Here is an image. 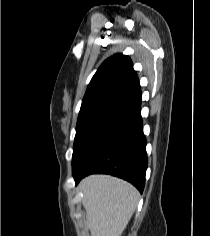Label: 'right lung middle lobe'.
<instances>
[{"instance_id": "right-lung-middle-lobe-1", "label": "right lung middle lobe", "mask_w": 210, "mask_h": 236, "mask_svg": "<svg viewBox=\"0 0 210 236\" xmlns=\"http://www.w3.org/2000/svg\"><path fill=\"white\" fill-rule=\"evenodd\" d=\"M132 93V91L127 89L116 90L104 97L88 101L81 105L76 126L73 156L89 133Z\"/></svg>"}]
</instances>
